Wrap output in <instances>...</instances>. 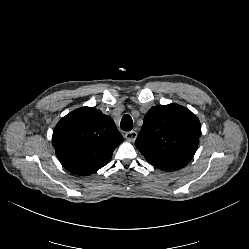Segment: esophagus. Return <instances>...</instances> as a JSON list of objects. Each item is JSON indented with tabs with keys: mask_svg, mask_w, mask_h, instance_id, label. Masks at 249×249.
Listing matches in <instances>:
<instances>
[{
	"mask_svg": "<svg viewBox=\"0 0 249 249\" xmlns=\"http://www.w3.org/2000/svg\"><path fill=\"white\" fill-rule=\"evenodd\" d=\"M138 136V133L134 130L125 133V138L129 142H134Z\"/></svg>",
	"mask_w": 249,
	"mask_h": 249,
	"instance_id": "1",
	"label": "esophagus"
}]
</instances>
